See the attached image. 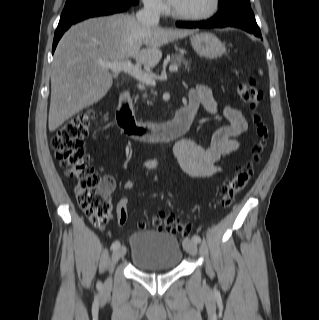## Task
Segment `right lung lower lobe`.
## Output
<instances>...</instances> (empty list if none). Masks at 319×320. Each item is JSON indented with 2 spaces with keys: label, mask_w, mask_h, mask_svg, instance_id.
I'll use <instances>...</instances> for the list:
<instances>
[{
  "label": "right lung lower lobe",
  "mask_w": 319,
  "mask_h": 320,
  "mask_svg": "<svg viewBox=\"0 0 319 320\" xmlns=\"http://www.w3.org/2000/svg\"><path fill=\"white\" fill-rule=\"evenodd\" d=\"M137 3H133L130 1H107L103 3H98L91 5L89 7H85L80 9L74 13L69 14L66 17L60 18L58 27L55 31L54 41H53V48L52 53L54 52L56 45L63 35V33L74 23L82 21L84 19L95 17V16H102V15H109L113 13L123 12L127 10L131 5H135Z\"/></svg>",
  "instance_id": "98d812e1"
}]
</instances>
